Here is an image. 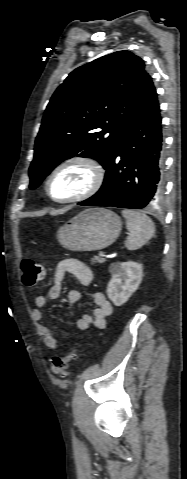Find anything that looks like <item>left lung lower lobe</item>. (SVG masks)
Instances as JSON below:
<instances>
[{
  "mask_svg": "<svg viewBox=\"0 0 187 479\" xmlns=\"http://www.w3.org/2000/svg\"><path fill=\"white\" fill-rule=\"evenodd\" d=\"M156 89L149 74L131 108L100 190L82 206L141 209L163 191V136Z\"/></svg>",
  "mask_w": 187,
  "mask_h": 479,
  "instance_id": "obj_1",
  "label": "left lung lower lobe"
}]
</instances>
